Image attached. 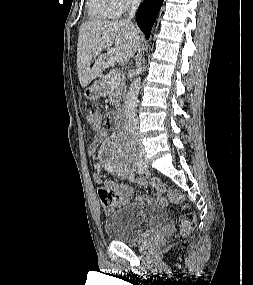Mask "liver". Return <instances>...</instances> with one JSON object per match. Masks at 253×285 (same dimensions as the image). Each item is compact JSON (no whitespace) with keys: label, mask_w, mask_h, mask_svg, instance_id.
<instances>
[{"label":"liver","mask_w":253,"mask_h":285,"mask_svg":"<svg viewBox=\"0 0 253 285\" xmlns=\"http://www.w3.org/2000/svg\"><path fill=\"white\" fill-rule=\"evenodd\" d=\"M140 42L141 31L133 23L123 20H95L83 23L79 28L77 44L80 85L85 88L107 67L128 62ZM109 43H115V46L104 47Z\"/></svg>","instance_id":"obj_1"}]
</instances>
